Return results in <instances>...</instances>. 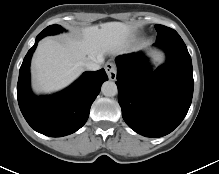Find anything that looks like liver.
I'll return each mask as SVG.
<instances>
[{
	"label": "liver",
	"instance_id": "liver-1",
	"mask_svg": "<svg viewBox=\"0 0 219 174\" xmlns=\"http://www.w3.org/2000/svg\"><path fill=\"white\" fill-rule=\"evenodd\" d=\"M132 37L129 25L107 22L84 28L81 39L42 40L32 59L33 88L51 92L67 86L81 74L86 62L130 50Z\"/></svg>",
	"mask_w": 219,
	"mask_h": 174
}]
</instances>
